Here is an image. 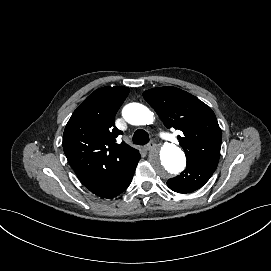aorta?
<instances>
[{
  "label": "aorta",
  "mask_w": 271,
  "mask_h": 271,
  "mask_svg": "<svg viewBox=\"0 0 271 271\" xmlns=\"http://www.w3.org/2000/svg\"><path fill=\"white\" fill-rule=\"evenodd\" d=\"M122 115L132 125H149L154 120V114L139 103L126 105ZM149 160L153 169L165 178L179 174L186 166L185 154L179 147L171 143H166L160 149L153 150Z\"/></svg>",
  "instance_id": "obj_1"
}]
</instances>
